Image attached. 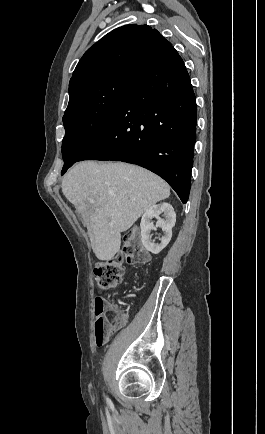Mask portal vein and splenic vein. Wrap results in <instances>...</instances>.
<instances>
[{
  "instance_id": "portal-vein-and-splenic-vein-1",
  "label": "portal vein and splenic vein",
  "mask_w": 265,
  "mask_h": 434,
  "mask_svg": "<svg viewBox=\"0 0 265 434\" xmlns=\"http://www.w3.org/2000/svg\"><path fill=\"white\" fill-rule=\"evenodd\" d=\"M88 202H90V204H96L95 200H88Z\"/></svg>"
}]
</instances>
